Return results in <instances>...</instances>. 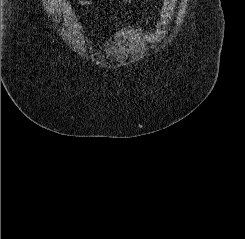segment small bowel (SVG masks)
I'll list each match as a JSON object with an SVG mask.
<instances>
[{
    "mask_svg": "<svg viewBox=\"0 0 245 239\" xmlns=\"http://www.w3.org/2000/svg\"><path fill=\"white\" fill-rule=\"evenodd\" d=\"M80 3H81L82 5H85V6L90 5V2L87 1V0H80Z\"/></svg>",
    "mask_w": 245,
    "mask_h": 239,
    "instance_id": "1",
    "label": "small bowel"
}]
</instances>
